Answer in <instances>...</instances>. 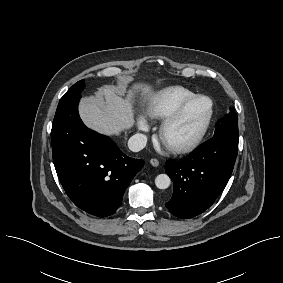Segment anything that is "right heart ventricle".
Masks as SVG:
<instances>
[{"instance_id":"right-heart-ventricle-1","label":"right heart ventricle","mask_w":283,"mask_h":283,"mask_svg":"<svg viewBox=\"0 0 283 283\" xmlns=\"http://www.w3.org/2000/svg\"><path fill=\"white\" fill-rule=\"evenodd\" d=\"M194 95L196 94L193 91L183 86L165 88L154 96L147 109V115L153 119H165Z\"/></svg>"}]
</instances>
